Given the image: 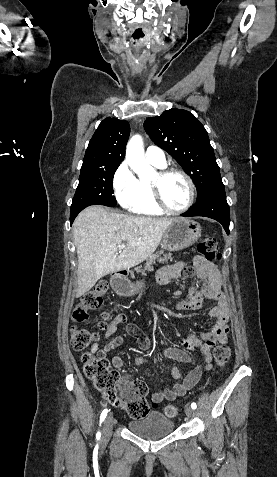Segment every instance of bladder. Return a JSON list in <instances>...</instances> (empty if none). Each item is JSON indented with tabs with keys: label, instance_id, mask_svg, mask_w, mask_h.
<instances>
[{
	"label": "bladder",
	"instance_id": "obj_1",
	"mask_svg": "<svg viewBox=\"0 0 277 477\" xmlns=\"http://www.w3.org/2000/svg\"><path fill=\"white\" fill-rule=\"evenodd\" d=\"M130 431L146 439H157L173 432L174 421L160 412H150L145 417L128 422Z\"/></svg>",
	"mask_w": 277,
	"mask_h": 477
}]
</instances>
